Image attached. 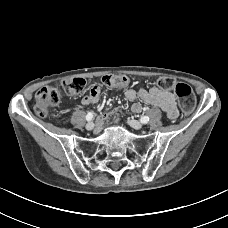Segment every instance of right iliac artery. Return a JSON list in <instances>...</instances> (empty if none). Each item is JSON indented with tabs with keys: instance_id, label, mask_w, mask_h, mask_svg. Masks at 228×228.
I'll list each match as a JSON object with an SVG mask.
<instances>
[{
	"instance_id": "82829eb1",
	"label": "right iliac artery",
	"mask_w": 228,
	"mask_h": 228,
	"mask_svg": "<svg viewBox=\"0 0 228 228\" xmlns=\"http://www.w3.org/2000/svg\"><path fill=\"white\" fill-rule=\"evenodd\" d=\"M93 118H94V113H93V112H89V113L86 115V120H87V121H91Z\"/></svg>"
}]
</instances>
